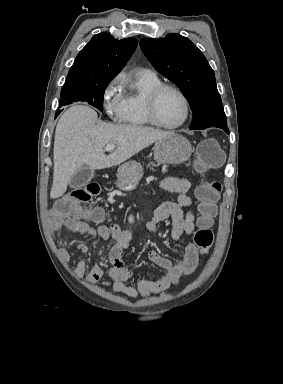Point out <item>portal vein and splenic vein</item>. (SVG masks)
<instances>
[{
    "instance_id": "18ae733b",
    "label": "portal vein and splenic vein",
    "mask_w": 283,
    "mask_h": 384,
    "mask_svg": "<svg viewBox=\"0 0 283 384\" xmlns=\"http://www.w3.org/2000/svg\"><path fill=\"white\" fill-rule=\"evenodd\" d=\"M114 148H115V144H106L105 152H112Z\"/></svg>"
}]
</instances>
